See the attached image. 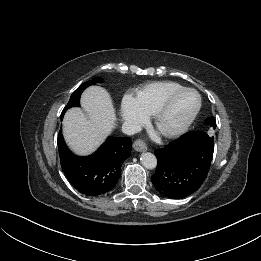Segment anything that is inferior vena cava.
Returning a JSON list of instances; mask_svg holds the SVG:
<instances>
[{
	"label": "inferior vena cava",
	"instance_id": "1",
	"mask_svg": "<svg viewBox=\"0 0 261 261\" xmlns=\"http://www.w3.org/2000/svg\"><path fill=\"white\" fill-rule=\"evenodd\" d=\"M122 130L125 134L134 135L141 131V126L135 122L126 121L122 125Z\"/></svg>",
	"mask_w": 261,
	"mask_h": 261
}]
</instances>
